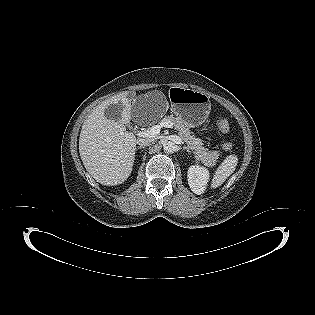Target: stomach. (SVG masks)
Listing matches in <instances>:
<instances>
[{
  "mask_svg": "<svg viewBox=\"0 0 315 315\" xmlns=\"http://www.w3.org/2000/svg\"><path fill=\"white\" fill-rule=\"evenodd\" d=\"M169 99L173 113L189 127L202 125L209 116L210 98L204 92L176 86L170 88Z\"/></svg>",
  "mask_w": 315,
  "mask_h": 315,
  "instance_id": "1",
  "label": "stomach"
}]
</instances>
